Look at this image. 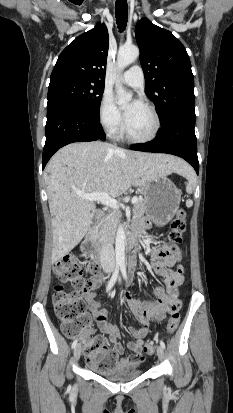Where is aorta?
Returning a JSON list of instances; mask_svg holds the SVG:
<instances>
[{
    "mask_svg": "<svg viewBox=\"0 0 233 413\" xmlns=\"http://www.w3.org/2000/svg\"><path fill=\"white\" fill-rule=\"evenodd\" d=\"M139 57V48L136 46L121 47L117 55V69L122 71L128 65L133 63ZM115 90L117 95V104L125 107L132 100V93L125 90L119 80L116 81ZM115 255L117 266L125 264V231L123 226H119L115 242Z\"/></svg>",
    "mask_w": 233,
    "mask_h": 413,
    "instance_id": "obj_1",
    "label": "aorta"
}]
</instances>
